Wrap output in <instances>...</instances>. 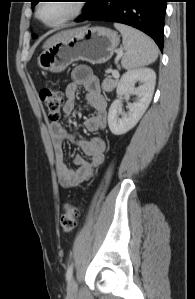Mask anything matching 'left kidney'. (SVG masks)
I'll return each instance as SVG.
<instances>
[{"instance_id":"5707ae66","label":"left kidney","mask_w":195,"mask_h":299,"mask_svg":"<svg viewBox=\"0 0 195 299\" xmlns=\"http://www.w3.org/2000/svg\"><path fill=\"white\" fill-rule=\"evenodd\" d=\"M136 82L140 83L138 87H135ZM155 83L156 74L150 68L134 69L123 74L116 89L118 99L113 101L108 113L109 129L114 135L125 134L138 123L152 100ZM130 94L136 95L137 100L128 103L127 113H121L119 98Z\"/></svg>"}]
</instances>
